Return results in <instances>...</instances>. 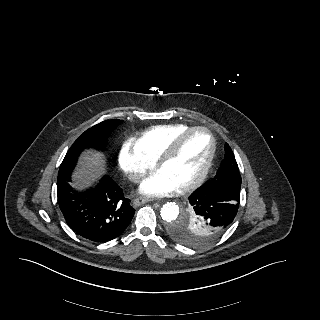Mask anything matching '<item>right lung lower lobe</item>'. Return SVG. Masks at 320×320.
<instances>
[{"mask_svg": "<svg viewBox=\"0 0 320 320\" xmlns=\"http://www.w3.org/2000/svg\"><path fill=\"white\" fill-rule=\"evenodd\" d=\"M70 177L58 182V204L68 226L81 237L104 243L115 239L130 224L135 209L109 176L84 192L74 191Z\"/></svg>", "mask_w": 320, "mask_h": 320, "instance_id": "right-lung-lower-lobe-1", "label": "right lung lower lobe"}]
</instances>
